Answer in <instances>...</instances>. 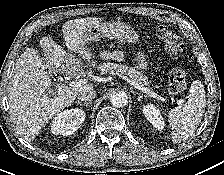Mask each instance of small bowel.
<instances>
[{
    "mask_svg": "<svg viewBox=\"0 0 224 175\" xmlns=\"http://www.w3.org/2000/svg\"><path fill=\"white\" fill-rule=\"evenodd\" d=\"M117 57L121 58L119 54L116 55Z\"/></svg>",
    "mask_w": 224,
    "mask_h": 175,
    "instance_id": "c3829d8e",
    "label": "small bowel"
}]
</instances>
